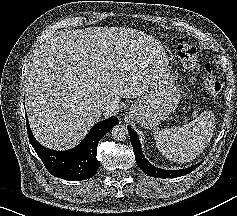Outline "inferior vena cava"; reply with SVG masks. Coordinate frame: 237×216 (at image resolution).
I'll use <instances>...</instances> for the list:
<instances>
[{"mask_svg":"<svg viewBox=\"0 0 237 216\" xmlns=\"http://www.w3.org/2000/svg\"><path fill=\"white\" fill-rule=\"evenodd\" d=\"M99 106L102 110L109 109L115 111L119 107V101L112 102L109 99H102L99 101Z\"/></svg>","mask_w":237,"mask_h":216,"instance_id":"obj_1","label":"inferior vena cava"}]
</instances>
